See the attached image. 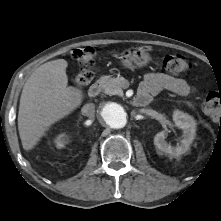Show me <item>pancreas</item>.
Segmentation results:
<instances>
[{
  "label": "pancreas",
  "instance_id": "1",
  "mask_svg": "<svg viewBox=\"0 0 221 221\" xmlns=\"http://www.w3.org/2000/svg\"><path fill=\"white\" fill-rule=\"evenodd\" d=\"M103 92L107 95H121L122 86L120 78L104 76L99 80Z\"/></svg>",
  "mask_w": 221,
  "mask_h": 221
}]
</instances>
